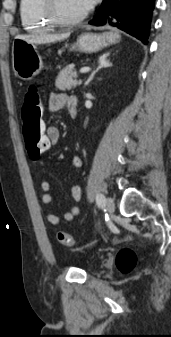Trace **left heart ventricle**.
Segmentation results:
<instances>
[{"label":"left heart ventricle","mask_w":171,"mask_h":337,"mask_svg":"<svg viewBox=\"0 0 171 337\" xmlns=\"http://www.w3.org/2000/svg\"><path fill=\"white\" fill-rule=\"evenodd\" d=\"M58 9L64 17H75L86 10L80 0H58Z\"/></svg>","instance_id":"left-heart-ventricle-1"}]
</instances>
